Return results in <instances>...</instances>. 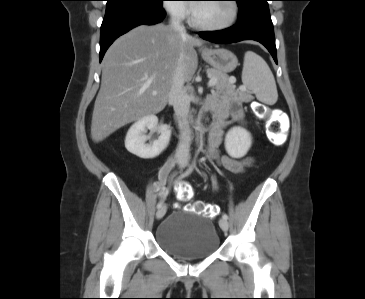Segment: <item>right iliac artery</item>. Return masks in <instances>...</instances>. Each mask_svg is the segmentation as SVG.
Wrapping results in <instances>:
<instances>
[{"instance_id":"82829eb1","label":"right iliac artery","mask_w":365,"mask_h":299,"mask_svg":"<svg viewBox=\"0 0 365 299\" xmlns=\"http://www.w3.org/2000/svg\"><path fill=\"white\" fill-rule=\"evenodd\" d=\"M193 167H194V164H192L191 166H189V168L183 173V174H181L180 176H179V178H183V177H186V176H188L191 172H192V170H193ZM162 204H163V202L162 201H160L158 204H157V208H160L161 206H162Z\"/></svg>"}]
</instances>
